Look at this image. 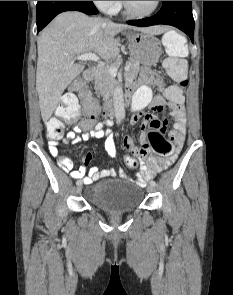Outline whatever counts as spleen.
<instances>
[{"mask_svg": "<svg viewBox=\"0 0 233 295\" xmlns=\"http://www.w3.org/2000/svg\"><path fill=\"white\" fill-rule=\"evenodd\" d=\"M166 52L170 56L179 54L188 55V49L184 42L173 32L166 33L163 37Z\"/></svg>", "mask_w": 233, "mask_h": 295, "instance_id": "spleen-1", "label": "spleen"}]
</instances>
